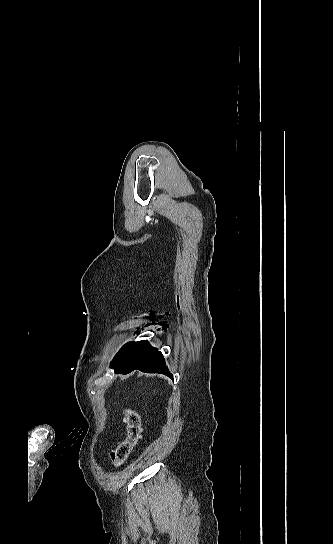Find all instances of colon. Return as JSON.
Segmentation results:
<instances>
[{
  "label": "colon",
  "instance_id": "colon-1",
  "mask_svg": "<svg viewBox=\"0 0 333 544\" xmlns=\"http://www.w3.org/2000/svg\"><path fill=\"white\" fill-rule=\"evenodd\" d=\"M124 422L126 424L127 435L117 447L110 451L108 459L110 464L115 467H121L135 450L142 437V421L140 414L131 408L123 410Z\"/></svg>",
  "mask_w": 333,
  "mask_h": 544
}]
</instances>
